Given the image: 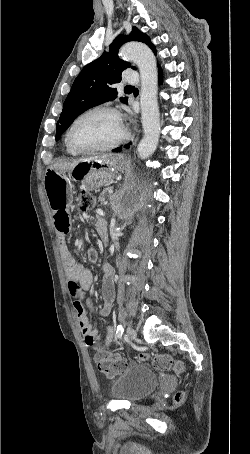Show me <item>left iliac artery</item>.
I'll list each match as a JSON object with an SVG mask.
<instances>
[{"label":"left iliac artery","mask_w":250,"mask_h":454,"mask_svg":"<svg viewBox=\"0 0 250 454\" xmlns=\"http://www.w3.org/2000/svg\"><path fill=\"white\" fill-rule=\"evenodd\" d=\"M123 332H124L123 326H122V325H118V326H117V331H116L117 337H118V338H121L122 335H123Z\"/></svg>","instance_id":"1"}]
</instances>
